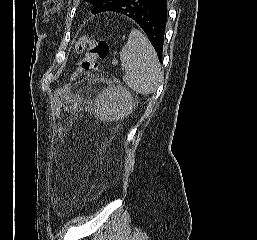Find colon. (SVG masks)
Masks as SVG:
<instances>
[{
  "label": "colon",
  "mask_w": 257,
  "mask_h": 240,
  "mask_svg": "<svg viewBox=\"0 0 257 240\" xmlns=\"http://www.w3.org/2000/svg\"><path fill=\"white\" fill-rule=\"evenodd\" d=\"M74 53L80 56L77 60L75 76H81L98 69L99 60L109 55V45L105 39L95 38L89 35L82 36L74 45ZM67 87L56 90L53 100V112L56 118L62 113L63 99Z\"/></svg>",
  "instance_id": "colon-1"
}]
</instances>
